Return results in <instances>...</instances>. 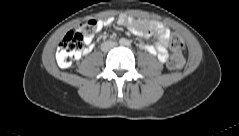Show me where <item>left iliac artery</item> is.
<instances>
[{
  "label": "left iliac artery",
  "instance_id": "44dca946",
  "mask_svg": "<svg viewBox=\"0 0 239 136\" xmlns=\"http://www.w3.org/2000/svg\"><path fill=\"white\" fill-rule=\"evenodd\" d=\"M126 45H128V46H129V45H130V42L128 41V42L126 43Z\"/></svg>",
  "mask_w": 239,
  "mask_h": 136
}]
</instances>
